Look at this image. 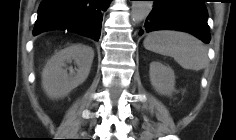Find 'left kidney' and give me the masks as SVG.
<instances>
[{"label":"left kidney","instance_id":"5707ae66","mask_svg":"<svg viewBox=\"0 0 236 140\" xmlns=\"http://www.w3.org/2000/svg\"><path fill=\"white\" fill-rule=\"evenodd\" d=\"M150 81L153 88L160 94L170 95L174 91V71L162 63L153 61L150 63Z\"/></svg>","mask_w":236,"mask_h":140}]
</instances>
